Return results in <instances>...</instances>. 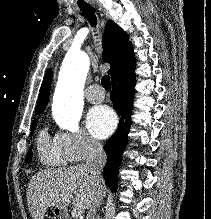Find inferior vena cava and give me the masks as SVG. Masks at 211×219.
Returning a JSON list of instances; mask_svg holds the SVG:
<instances>
[{
  "mask_svg": "<svg viewBox=\"0 0 211 219\" xmlns=\"http://www.w3.org/2000/svg\"><path fill=\"white\" fill-rule=\"evenodd\" d=\"M88 148L89 150H88V156L86 160V168L88 172L90 173L91 178L94 182V187L98 192V197L97 199H95V201L91 205L87 213L86 219H96L95 218L96 211H97V208H99V205L102 199L100 192L104 185V180L102 177V170L106 163L107 157L104 152L103 146L97 141L90 140Z\"/></svg>",
  "mask_w": 211,
  "mask_h": 219,
  "instance_id": "1",
  "label": "inferior vena cava"
}]
</instances>
